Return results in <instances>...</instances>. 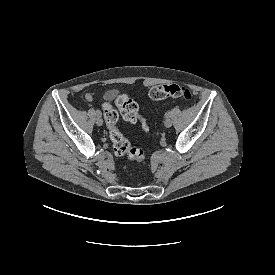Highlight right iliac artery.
Masks as SVG:
<instances>
[{"mask_svg":"<svg viewBox=\"0 0 275 275\" xmlns=\"http://www.w3.org/2000/svg\"><path fill=\"white\" fill-rule=\"evenodd\" d=\"M95 115H101V112L99 110H96Z\"/></svg>","mask_w":275,"mask_h":275,"instance_id":"obj_1","label":"right iliac artery"}]
</instances>
